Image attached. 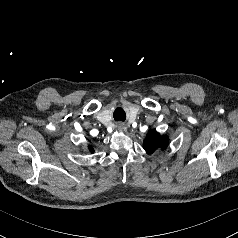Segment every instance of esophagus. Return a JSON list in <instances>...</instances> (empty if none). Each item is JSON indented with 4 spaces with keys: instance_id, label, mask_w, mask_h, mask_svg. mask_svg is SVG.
Segmentation results:
<instances>
[{
    "instance_id": "esophagus-1",
    "label": "esophagus",
    "mask_w": 238,
    "mask_h": 238,
    "mask_svg": "<svg viewBox=\"0 0 238 238\" xmlns=\"http://www.w3.org/2000/svg\"><path fill=\"white\" fill-rule=\"evenodd\" d=\"M118 129H119L120 131H122V130L124 129V125H123V124H119V125H118Z\"/></svg>"
}]
</instances>
